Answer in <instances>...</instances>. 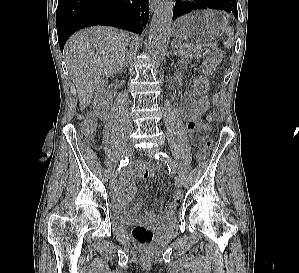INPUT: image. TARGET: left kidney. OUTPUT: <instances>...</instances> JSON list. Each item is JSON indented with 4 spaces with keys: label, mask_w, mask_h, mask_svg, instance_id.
<instances>
[{
    "label": "left kidney",
    "mask_w": 299,
    "mask_h": 273,
    "mask_svg": "<svg viewBox=\"0 0 299 273\" xmlns=\"http://www.w3.org/2000/svg\"><path fill=\"white\" fill-rule=\"evenodd\" d=\"M182 63V61H179L178 64Z\"/></svg>",
    "instance_id": "1"
}]
</instances>
